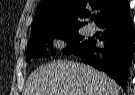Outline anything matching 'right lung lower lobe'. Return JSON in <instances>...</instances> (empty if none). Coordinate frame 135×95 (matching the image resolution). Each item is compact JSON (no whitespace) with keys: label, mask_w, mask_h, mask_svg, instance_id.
<instances>
[{"label":"right lung lower lobe","mask_w":135,"mask_h":95,"mask_svg":"<svg viewBox=\"0 0 135 95\" xmlns=\"http://www.w3.org/2000/svg\"><path fill=\"white\" fill-rule=\"evenodd\" d=\"M99 27L104 30L100 38L104 41V46L98 47L96 40L89 39L74 54L81 57L84 63L107 73L125 90L127 70L134 51V32L130 15L118 20L106 21Z\"/></svg>","instance_id":"right-lung-lower-lobe-1"}]
</instances>
